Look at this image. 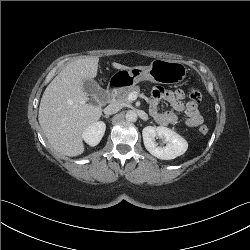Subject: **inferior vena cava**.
I'll return each mask as SVG.
<instances>
[{
  "mask_svg": "<svg viewBox=\"0 0 250 250\" xmlns=\"http://www.w3.org/2000/svg\"><path fill=\"white\" fill-rule=\"evenodd\" d=\"M122 108L120 103H111L106 108H104V113L106 115H111L117 113Z\"/></svg>",
  "mask_w": 250,
  "mask_h": 250,
  "instance_id": "602c4592",
  "label": "inferior vena cava"
}]
</instances>
